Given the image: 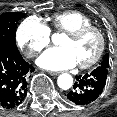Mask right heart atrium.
<instances>
[{"label":"right heart atrium","mask_w":117,"mask_h":117,"mask_svg":"<svg viewBox=\"0 0 117 117\" xmlns=\"http://www.w3.org/2000/svg\"><path fill=\"white\" fill-rule=\"evenodd\" d=\"M16 40L24 54L28 58H34L48 46L51 33L40 19L29 17L18 26Z\"/></svg>","instance_id":"right-heart-atrium-1"}]
</instances>
